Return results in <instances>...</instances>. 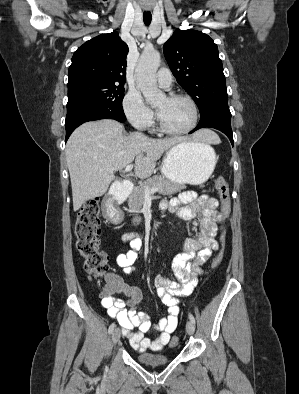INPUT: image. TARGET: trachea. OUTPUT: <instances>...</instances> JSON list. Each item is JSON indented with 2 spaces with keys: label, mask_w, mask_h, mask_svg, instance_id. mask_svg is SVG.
<instances>
[{
  "label": "trachea",
  "mask_w": 299,
  "mask_h": 394,
  "mask_svg": "<svg viewBox=\"0 0 299 394\" xmlns=\"http://www.w3.org/2000/svg\"><path fill=\"white\" fill-rule=\"evenodd\" d=\"M152 20L151 12H144L143 13V21L146 26H149Z\"/></svg>",
  "instance_id": "obj_1"
}]
</instances>
